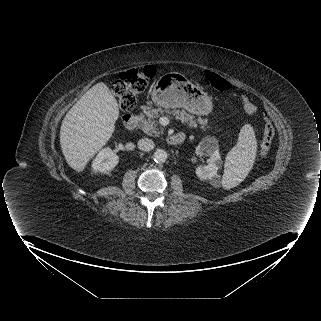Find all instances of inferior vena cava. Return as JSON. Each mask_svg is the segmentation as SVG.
Listing matches in <instances>:
<instances>
[{
  "label": "inferior vena cava",
  "mask_w": 321,
  "mask_h": 321,
  "mask_svg": "<svg viewBox=\"0 0 321 321\" xmlns=\"http://www.w3.org/2000/svg\"><path fill=\"white\" fill-rule=\"evenodd\" d=\"M138 148L145 152L151 151L154 148V142L149 138H142L138 141Z\"/></svg>",
  "instance_id": "inferior-vena-cava-1"
}]
</instances>
